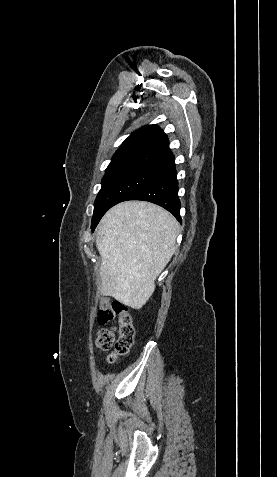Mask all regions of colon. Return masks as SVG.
<instances>
[{
	"label": "colon",
	"mask_w": 277,
	"mask_h": 477,
	"mask_svg": "<svg viewBox=\"0 0 277 477\" xmlns=\"http://www.w3.org/2000/svg\"><path fill=\"white\" fill-rule=\"evenodd\" d=\"M97 320L101 325L118 321V328H100L95 332L96 346L104 351L112 349L108 359L110 362H116L129 353L134 341L135 330L129 309L117 300L103 298Z\"/></svg>",
	"instance_id": "1"
}]
</instances>
